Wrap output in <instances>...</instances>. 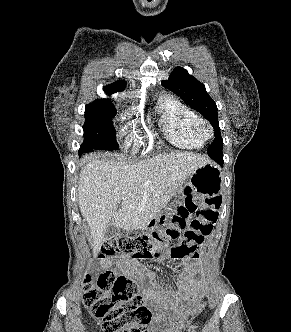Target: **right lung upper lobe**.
<instances>
[{"label":"right lung upper lobe","mask_w":291,"mask_h":332,"mask_svg":"<svg viewBox=\"0 0 291 332\" xmlns=\"http://www.w3.org/2000/svg\"><path fill=\"white\" fill-rule=\"evenodd\" d=\"M126 87V82L124 80H119L113 84H110L108 86H104L103 90L107 93V94H113L117 91H122L124 90ZM100 101H109L107 99H99Z\"/></svg>","instance_id":"obj_1"}]
</instances>
